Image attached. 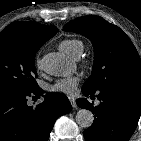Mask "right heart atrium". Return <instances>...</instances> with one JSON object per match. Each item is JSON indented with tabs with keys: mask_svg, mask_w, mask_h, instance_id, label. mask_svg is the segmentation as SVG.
<instances>
[{
	"mask_svg": "<svg viewBox=\"0 0 141 141\" xmlns=\"http://www.w3.org/2000/svg\"><path fill=\"white\" fill-rule=\"evenodd\" d=\"M36 67L37 68L41 67V60H40L39 56L36 57Z\"/></svg>",
	"mask_w": 141,
	"mask_h": 141,
	"instance_id": "1",
	"label": "right heart atrium"
}]
</instances>
